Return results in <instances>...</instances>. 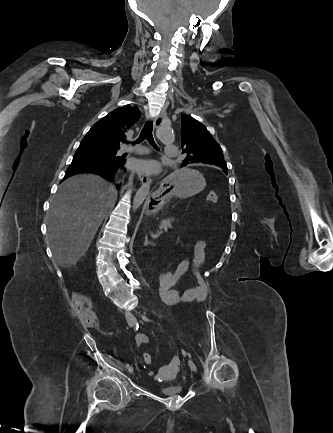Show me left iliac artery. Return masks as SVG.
Returning <instances> with one entry per match:
<instances>
[{"instance_id": "obj_1", "label": "left iliac artery", "mask_w": 333, "mask_h": 433, "mask_svg": "<svg viewBox=\"0 0 333 433\" xmlns=\"http://www.w3.org/2000/svg\"><path fill=\"white\" fill-rule=\"evenodd\" d=\"M143 320H145V321H149V319H148L147 317H145V316L143 317ZM182 352H183V354H185V355L191 357L190 353H188V352H186V351H184V350H182Z\"/></svg>"}]
</instances>
